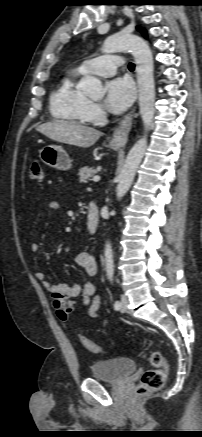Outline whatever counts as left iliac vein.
Returning a JSON list of instances; mask_svg holds the SVG:
<instances>
[{
  "label": "left iliac vein",
  "instance_id": "1",
  "mask_svg": "<svg viewBox=\"0 0 202 437\" xmlns=\"http://www.w3.org/2000/svg\"><path fill=\"white\" fill-rule=\"evenodd\" d=\"M128 309V298L125 295L121 296V307H120V311L121 312H126Z\"/></svg>",
  "mask_w": 202,
  "mask_h": 437
}]
</instances>
